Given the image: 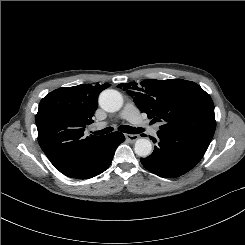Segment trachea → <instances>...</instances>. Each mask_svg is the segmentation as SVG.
<instances>
[{
    "label": "trachea",
    "instance_id": "1",
    "mask_svg": "<svg viewBox=\"0 0 245 245\" xmlns=\"http://www.w3.org/2000/svg\"><path fill=\"white\" fill-rule=\"evenodd\" d=\"M113 130H114L113 127H107V128L102 129L100 131H95L92 133L95 135H104V134L112 132ZM118 130H120L121 132H124V133H128V134H138V133L143 132L142 128H135V127H131L128 125H121L120 127H118Z\"/></svg>",
    "mask_w": 245,
    "mask_h": 245
}]
</instances>
